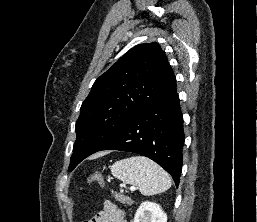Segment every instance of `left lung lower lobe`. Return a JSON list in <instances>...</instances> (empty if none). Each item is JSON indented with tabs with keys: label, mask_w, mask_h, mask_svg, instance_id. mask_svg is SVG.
<instances>
[{
	"label": "left lung lower lobe",
	"mask_w": 257,
	"mask_h": 222,
	"mask_svg": "<svg viewBox=\"0 0 257 222\" xmlns=\"http://www.w3.org/2000/svg\"><path fill=\"white\" fill-rule=\"evenodd\" d=\"M184 140L183 116L174 78L99 151L120 150L146 156L163 167L178 186Z\"/></svg>",
	"instance_id": "obj_1"
}]
</instances>
